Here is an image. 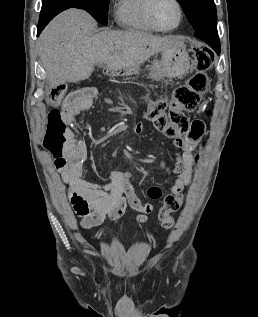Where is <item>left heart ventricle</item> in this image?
<instances>
[{
	"label": "left heart ventricle",
	"mask_w": 258,
	"mask_h": 317,
	"mask_svg": "<svg viewBox=\"0 0 258 317\" xmlns=\"http://www.w3.org/2000/svg\"><path fill=\"white\" fill-rule=\"evenodd\" d=\"M154 17L162 27L173 26L178 19V7L174 0H161L154 8Z\"/></svg>",
	"instance_id": "obj_1"
}]
</instances>
